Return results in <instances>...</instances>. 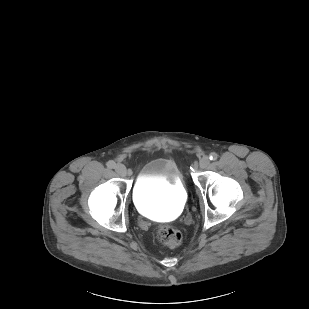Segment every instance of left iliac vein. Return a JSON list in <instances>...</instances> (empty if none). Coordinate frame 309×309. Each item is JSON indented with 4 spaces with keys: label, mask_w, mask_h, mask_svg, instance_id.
I'll return each mask as SVG.
<instances>
[{
    "label": "left iliac vein",
    "mask_w": 309,
    "mask_h": 309,
    "mask_svg": "<svg viewBox=\"0 0 309 309\" xmlns=\"http://www.w3.org/2000/svg\"><path fill=\"white\" fill-rule=\"evenodd\" d=\"M210 163V159L208 156H203L199 162L200 169L206 168Z\"/></svg>",
    "instance_id": "4c4485c4"
}]
</instances>
